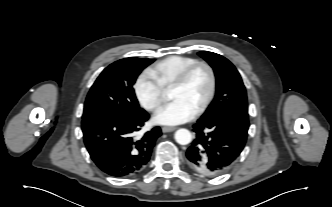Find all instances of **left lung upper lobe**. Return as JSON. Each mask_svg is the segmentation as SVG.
Listing matches in <instances>:
<instances>
[{
  "label": "left lung upper lobe",
  "mask_w": 332,
  "mask_h": 207,
  "mask_svg": "<svg viewBox=\"0 0 332 207\" xmlns=\"http://www.w3.org/2000/svg\"><path fill=\"white\" fill-rule=\"evenodd\" d=\"M213 68L216 76V94L200 119L210 120L230 111L247 112L246 89L235 66L223 56L213 52H199Z\"/></svg>",
  "instance_id": "left-lung-upper-lobe-1"
}]
</instances>
